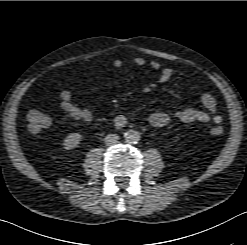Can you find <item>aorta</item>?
Instances as JSON below:
<instances>
[{"label": "aorta", "instance_id": "1", "mask_svg": "<svg viewBox=\"0 0 247 245\" xmlns=\"http://www.w3.org/2000/svg\"><path fill=\"white\" fill-rule=\"evenodd\" d=\"M124 137L130 143H137L140 140V133L136 130H128L124 133Z\"/></svg>", "mask_w": 247, "mask_h": 245}]
</instances>
